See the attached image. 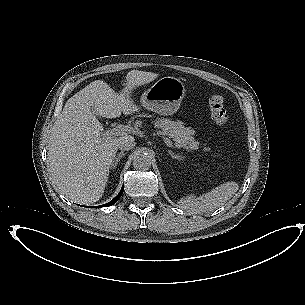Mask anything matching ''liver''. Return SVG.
Returning <instances> with one entry per match:
<instances>
[{"instance_id":"6515ba94","label":"liver","mask_w":305,"mask_h":305,"mask_svg":"<svg viewBox=\"0 0 305 305\" xmlns=\"http://www.w3.org/2000/svg\"><path fill=\"white\" fill-rule=\"evenodd\" d=\"M136 110L128 98L101 80L91 82L66 102L51 129L47 152L52 179L65 195L83 204L102 197L118 141L127 135L103 133L97 117L112 119Z\"/></svg>"}]
</instances>
